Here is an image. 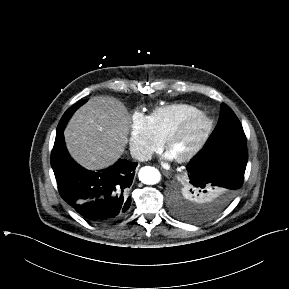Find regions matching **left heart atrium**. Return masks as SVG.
Listing matches in <instances>:
<instances>
[{
  "label": "left heart atrium",
  "instance_id": "obj_1",
  "mask_svg": "<svg viewBox=\"0 0 289 289\" xmlns=\"http://www.w3.org/2000/svg\"><path fill=\"white\" fill-rule=\"evenodd\" d=\"M167 157H168V158H173V157H174V155H173V154H171V153H169V154H167Z\"/></svg>",
  "mask_w": 289,
  "mask_h": 289
}]
</instances>
